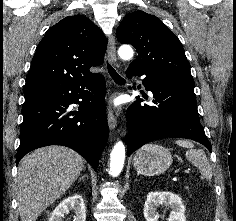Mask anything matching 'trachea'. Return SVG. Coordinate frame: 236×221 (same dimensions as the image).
<instances>
[{"instance_id": "obj_1", "label": "trachea", "mask_w": 236, "mask_h": 221, "mask_svg": "<svg viewBox=\"0 0 236 221\" xmlns=\"http://www.w3.org/2000/svg\"><path fill=\"white\" fill-rule=\"evenodd\" d=\"M107 68L110 76L117 84H124L125 80L115 71V69L107 63Z\"/></svg>"}]
</instances>
